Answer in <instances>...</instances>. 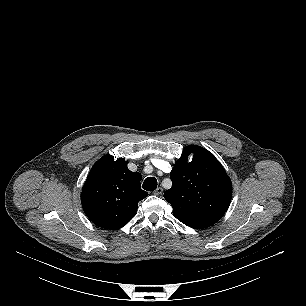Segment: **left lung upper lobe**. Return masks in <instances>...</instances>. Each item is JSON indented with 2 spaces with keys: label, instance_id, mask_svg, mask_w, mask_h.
<instances>
[{
  "label": "left lung upper lobe",
  "instance_id": "left-lung-upper-lobe-1",
  "mask_svg": "<svg viewBox=\"0 0 306 306\" xmlns=\"http://www.w3.org/2000/svg\"><path fill=\"white\" fill-rule=\"evenodd\" d=\"M193 153L191 162L187 157ZM171 189L164 198L172 205L174 216L185 225L202 229L215 224L226 212L231 196L230 178L208 150L192 145L170 172Z\"/></svg>",
  "mask_w": 306,
  "mask_h": 306
}]
</instances>
